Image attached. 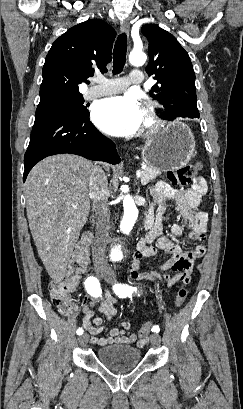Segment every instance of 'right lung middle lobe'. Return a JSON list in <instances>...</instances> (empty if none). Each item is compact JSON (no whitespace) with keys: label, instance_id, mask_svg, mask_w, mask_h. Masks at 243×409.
Here are the masks:
<instances>
[{"label":"right lung middle lobe","instance_id":"right-lung-middle-lobe-1","mask_svg":"<svg viewBox=\"0 0 243 409\" xmlns=\"http://www.w3.org/2000/svg\"><path fill=\"white\" fill-rule=\"evenodd\" d=\"M82 95L69 98H53L40 101L36 112L53 111L62 114H74L83 116L89 114L87 108L83 105Z\"/></svg>","mask_w":243,"mask_h":409}]
</instances>
